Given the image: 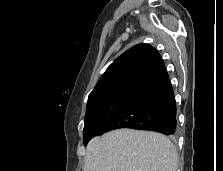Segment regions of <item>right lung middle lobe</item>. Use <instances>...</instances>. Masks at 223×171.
Listing matches in <instances>:
<instances>
[{"instance_id": "right-lung-middle-lobe-1", "label": "right lung middle lobe", "mask_w": 223, "mask_h": 171, "mask_svg": "<svg viewBox=\"0 0 223 171\" xmlns=\"http://www.w3.org/2000/svg\"><path fill=\"white\" fill-rule=\"evenodd\" d=\"M136 96L134 94H114L88 103L83 130L84 144L86 145L94 136H98L101 129Z\"/></svg>"}]
</instances>
